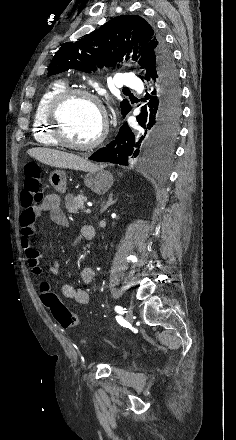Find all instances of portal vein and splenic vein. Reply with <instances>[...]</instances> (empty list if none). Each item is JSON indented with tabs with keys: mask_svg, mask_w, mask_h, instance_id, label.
Returning <instances> with one entry per match:
<instances>
[{
	"mask_svg": "<svg viewBox=\"0 0 236 440\" xmlns=\"http://www.w3.org/2000/svg\"><path fill=\"white\" fill-rule=\"evenodd\" d=\"M86 213H91V209L89 207L86 209Z\"/></svg>",
	"mask_w": 236,
	"mask_h": 440,
	"instance_id": "18ae733b",
	"label": "portal vein and splenic vein"
}]
</instances>
